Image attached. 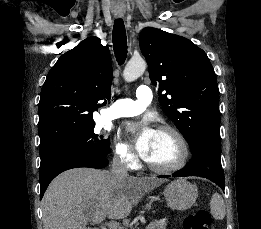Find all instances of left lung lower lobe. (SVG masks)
<instances>
[{
  "label": "left lung lower lobe",
  "instance_id": "obj_1",
  "mask_svg": "<svg viewBox=\"0 0 261 229\" xmlns=\"http://www.w3.org/2000/svg\"><path fill=\"white\" fill-rule=\"evenodd\" d=\"M220 147V142L201 141L195 149L191 150L193 156L189 164L172 176H200L213 181L224 189L225 179L220 160ZM158 177L166 178L170 176L162 175Z\"/></svg>",
  "mask_w": 261,
  "mask_h": 229
}]
</instances>
